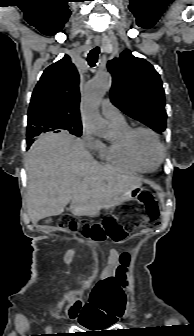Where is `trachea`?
Returning <instances> with one entry per match:
<instances>
[{"label":"trachea","instance_id":"obj_1","mask_svg":"<svg viewBox=\"0 0 194 336\" xmlns=\"http://www.w3.org/2000/svg\"><path fill=\"white\" fill-rule=\"evenodd\" d=\"M100 52L99 47L93 48L90 53L88 54V63L91 67L95 66L98 60V54Z\"/></svg>","mask_w":194,"mask_h":336}]
</instances>
